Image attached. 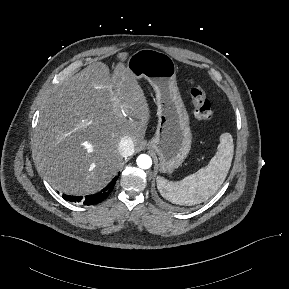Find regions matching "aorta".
I'll list each match as a JSON object with an SVG mask.
<instances>
[{
	"label": "aorta",
	"instance_id": "obj_1",
	"mask_svg": "<svg viewBox=\"0 0 289 289\" xmlns=\"http://www.w3.org/2000/svg\"><path fill=\"white\" fill-rule=\"evenodd\" d=\"M137 165L141 169H149L152 166V159L149 155L141 154L137 158Z\"/></svg>",
	"mask_w": 289,
	"mask_h": 289
}]
</instances>
